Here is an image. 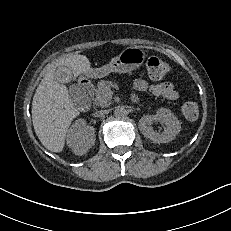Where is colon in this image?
Instances as JSON below:
<instances>
[{
	"mask_svg": "<svg viewBox=\"0 0 231 231\" xmlns=\"http://www.w3.org/2000/svg\"><path fill=\"white\" fill-rule=\"evenodd\" d=\"M148 76L153 80H160L165 78L171 71L170 65L158 58L151 57L146 63ZM182 112L184 116L190 120L197 118L199 113V108L196 102L187 100L182 104Z\"/></svg>",
	"mask_w": 231,
	"mask_h": 231,
	"instance_id": "colon-1",
	"label": "colon"
}]
</instances>
